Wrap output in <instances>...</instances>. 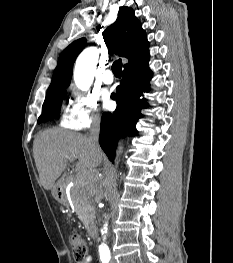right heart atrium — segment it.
Returning a JSON list of instances; mask_svg holds the SVG:
<instances>
[{
  "instance_id": "1",
  "label": "right heart atrium",
  "mask_w": 233,
  "mask_h": 263,
  "mask_svg": "<svg viewBox=\"0 0 233 263\" xmlns=\"http://www.w3.org/2000/svg\"><path fill=\"white\" fill-rule=\"evenodd\" d=\"M72 99L64 117V124L72 130H83L100 121L98 98L89 92L71 91Z\"/></svg>"
}]
</instances>
